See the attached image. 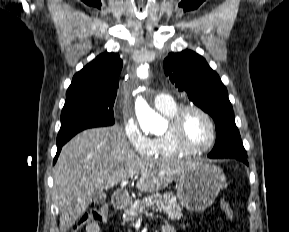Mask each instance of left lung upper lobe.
<instances>
[{"mask_svg":"<svg viewBox=\"0 0 289 232\" xmlns=\"http://www.w3.org/2000/svg\"><path fill=\"white\" fill-rule=\"evenodd\" d=\"M168 76L179 91L212 116L216 127V143L210 158L247 157L235 124L227 89L206 60L191 50L170 53L163 63Z\"/></svg>","mask_w":289,"mask_h":232,"instance_id":"left-lung-upper-lobe-1","label":"left lung upper lobe"}]
</instances>
